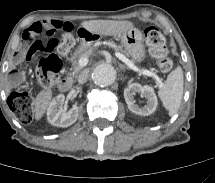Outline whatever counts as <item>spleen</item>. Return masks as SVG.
<instances>
[{"label": "spleen", "instance_id": "spleen-1", "mask_svg": "<svg viewBox=\"0 0 215 183\" xmlns=\"http://www.w3.org/2000/svg\"><path fill=\"white\" fill-rule=\"evenodd\" d=\"M183 71L177 67L168 76L162 88L158 91L164 107L170 116L177 113L183 96Z\"/></svg>", "mask_w": 215, "mask_h": 183}]
</instances>
